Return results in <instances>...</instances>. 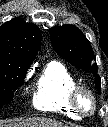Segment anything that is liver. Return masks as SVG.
I'll return each instance as SVG.
<instances>
[{
    "label": "liver",
    "mask_w": 108,
    "mask_h": 127,
    "mask_svg": "<svg viewBox=\"0 0 108 127\" xmlns=\"http://www.w3.org/2000/svg\"><path fill=\"white\" fill-rule=\"evenodd\" d=\"M4 127H67V126L49 118L33 117L28 118L19 123H10Z\"/></svg>",
    "instance_id": "1"
}]
</instances>
